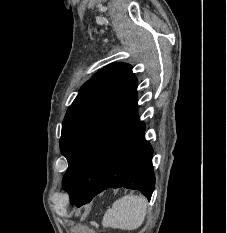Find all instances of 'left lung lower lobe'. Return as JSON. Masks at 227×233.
Masks as SVG:
<instances>
[{"label":"left lung lower lobe","instance_id":"left-lung-lower-lobe-1","mask_svg":"<svg viewBox=\"0 0 227 233\" xmlns=\"http://www.w3.org/2000/svg\"><path fill=\"white\" fill-rule=\"evenodd\" d=\"M145 124L138 121L113 151L96 188L74 201L77 207L107 188L138 189L148 200L155 186L153 149L145 140Z\"/></svg>","mask_w":227,"mask_h":233}]
</instances>
